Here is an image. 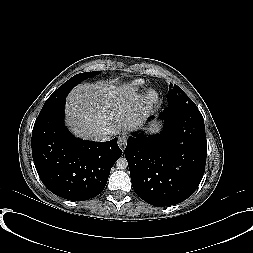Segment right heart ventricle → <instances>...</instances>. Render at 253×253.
Segmentation results:
<instances>
[{
	"mask_svg": "<svg viewBox=\"0 0 253 253\" xmlns=\"http://www.w3.org/2000/svg\"><path fill=\"white\" fill-rule=\"evenodd\" d=\"M145 85V82L141 79L133 80L125 85V90L128 93L135 94L139 92Z\"/></svg>",
	"mask_w": 253,
	"mask_h": 253,
	"instance_id": "right-heart-ventricle-1",
	"label": "right heart ventricle"
}]
</instances>
